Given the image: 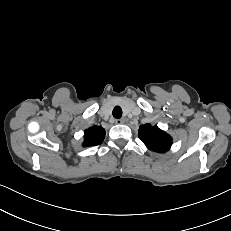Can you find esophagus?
I'll return each mask as SVG.
<instances>
[{"mask_svg":"<svg viewBox=\"0 0 231 231\" xmlns=\"http://www.w3.org/2000/svg\"><path fill=\"white\" fill-rule=\"evenodd\" d=\"M115 124H123L125 122L124 119H115Z\"/></svg>","mask_w":231,"mask_h":231,"instance_id":"esophagus-1","label":"esophagus"}]
</instances>
